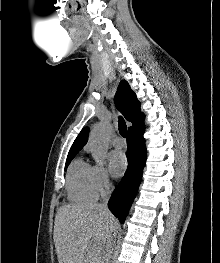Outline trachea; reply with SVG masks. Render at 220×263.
Returning a JSON list of instances; mask_svg holds the SVG:
<instances>
[{"instance_id":"1","label":"trachea","mask_w":220,"mask_h":263,"mask_svg":"<svg viewBox=\"0 0 220 263\" xmlns=\"http://www.w3.org/2000/svg\"><path fill=\"white\" fill-rule=\"evenodd\" d=\"M118 126H119L120 135H121L122 137H126V134H127V126H126L125 120H124L122 117H119Z\"/></svg>"}]
</instances>
